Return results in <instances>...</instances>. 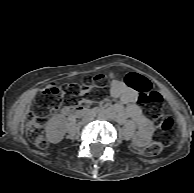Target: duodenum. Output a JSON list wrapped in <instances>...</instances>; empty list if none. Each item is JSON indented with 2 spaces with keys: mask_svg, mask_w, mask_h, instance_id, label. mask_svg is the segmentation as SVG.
I'll return each mask as SVG.
<instances>
[{
  "mask_svg": "<svg viewBox=\"0 0 194 193\" xmlns=\"http://www.w3.org/2000/svg\"><path fill=\"white\" fill-rule=\"evenodd\" d=\"M63 114L70 115V116H76V115H82L91 113L89 109H86L82 106H66L62 110ZM94 114H101L102 112L99 111H93Z\"/></svg>",
  "mask_w": 194,
  "mask_h": 193,
  "instance_id": "410a0bca",
  "label": "duodenum"
}]
</instances>
